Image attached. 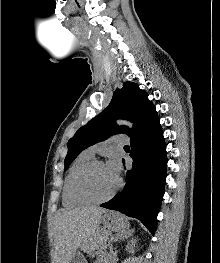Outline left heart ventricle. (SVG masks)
Instances as JSON below:
<instances>
[{
    "instance_id": "1",
    "label": "left heart ventricle",
    "mask_w": 220,
    "mask_h": 263,
    "mask_svg": "<svg viewBox=\"0 0 220 263\" xmlns=\"http://www.w3.org/2000/svg\"><path fill=\"white\" fill-rule=\"evenodd\" d=\"M117 179L105 164L93 167L82 181V190L93 198L109 194L116 186Z\"/></svg>"
}]
</instances>
